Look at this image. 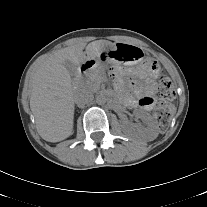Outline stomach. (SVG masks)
I'll list each match as a JSON object with an SVG mask.
<instances>
[{
	"instance_id": "obj_1",
	"label": "stomach",
	"mask_w": 207,
	"mask_h": 207,
	"mask_svg": "<svg viewBox=\"0 0 207 207\" xmlns=\"http://www.w3.org/2000/svg\"><path fill=\"white\" fill-rule=\"evenodd\" d=\"M146 60L143 50L125 43H117L107 47L98 58L100 63L108 62L130 66L140 64Z\"/></svg>"
}]
</instances>
